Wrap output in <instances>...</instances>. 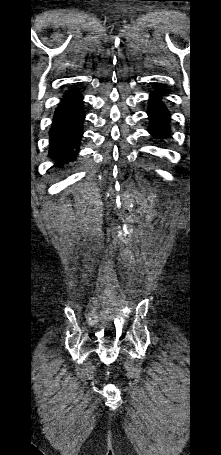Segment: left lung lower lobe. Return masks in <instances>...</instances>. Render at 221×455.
<instances>
[{
  "mask_svg": "<svg viewBox=\"0 0 221 455\" xmlns=\"http://www.w3.org/2000/svg\"><path fill=\"white\" fill-rule=\"evenodd\" d=\"M162 92L154 91L150 95L148 115L150 119L149 132L157 137L164 138L169 133V113L161 101Z\"/></svg>",
  "mask_w": 221,
  "mask_h": 455,
  "instance_id": "1",
  "label": "left lung lower lobe"
}]
</instances>
